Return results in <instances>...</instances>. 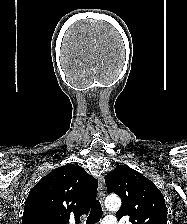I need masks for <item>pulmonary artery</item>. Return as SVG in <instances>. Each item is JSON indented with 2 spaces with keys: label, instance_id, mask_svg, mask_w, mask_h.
<instances>
[{
  "label": "pulmonary artery",
  "instance_id": "1",
  "mask_svg": "<svg viewBox=\"0 0 187 224\" xmlns=\"http://www.w3.org/2000/svg\"><path fill=\"white\" fill-rule=\"evenodd\" d=\"M102 224H117V222L114 217L109 216L103 220Z\"/></svg>",
  "mask_w": 187,
  "mask_h": 224
}]
</instances>
